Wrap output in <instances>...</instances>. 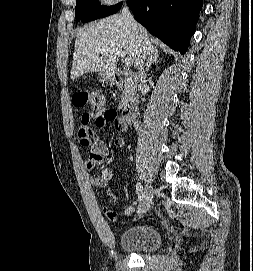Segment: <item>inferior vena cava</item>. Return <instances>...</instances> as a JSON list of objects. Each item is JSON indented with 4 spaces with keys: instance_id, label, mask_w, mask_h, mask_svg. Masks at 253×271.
<instances>
[{
    "instance_id": "602c4592",
    "label": "inferior vena cava",
    "mask_w": 253,
    "mask_h": 271,
    "mask_svg": "<svg viewBox=\"0 0 253 271\" xmlns=\"http://www.w3.org/2000/svg\"><path fill=\"white\" fill-rule=\"evenodd\" d=\"M122 15L123 17H125L129 23L130 26L136 30L139 31L140 30V26L138 25V23L134 20L133 16L130 13V10L128 7H124L122 10ZM146 55L144 52H141L139 58H138V76H137V80H138V88L141 89L144 85V72H143V66H144V61H145Z\"/></svg>"
}]
</instances>
